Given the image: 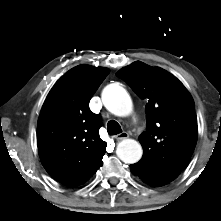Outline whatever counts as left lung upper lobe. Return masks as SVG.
<instances>
[{
    "label": "left lung upper lobe",
    "instance_id": "5c2ea615",
    "mask_svg": "<svg viewBox=\"0 0 221 221\" xmlns=\"http://www.w3.org/2000/svg\"><path fill=\"white\" fill-rule=\"evenodd\" d=\"M117 76L147 100V127L138 138L144 154L133 168L145 183L163 186L177 178L194 151L198 133L194 101L172 74L140 61Z\"/></svg>",
    "mask_w": 221,
    "mask_h": 221
}]
</instances>
